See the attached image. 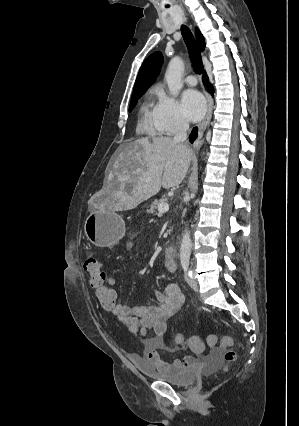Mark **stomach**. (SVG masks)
Wrapping results in <instances>:
<instances>
[{"mask_svg":"<svg viewBox=\"0 0 299 426\" xmlns=\"http://www.w3.org/2000/svg\"><path fill=\"white\" fill-rule=\"evenodd\" d=\"M84 231L87 239L97 247H112L125 234L123 218L109 207H102L89 214Z\"/></svg>","mask_w":299,"mask_h":426,"instance_id":"obj_1","label":"stomach"}]
</instances>
